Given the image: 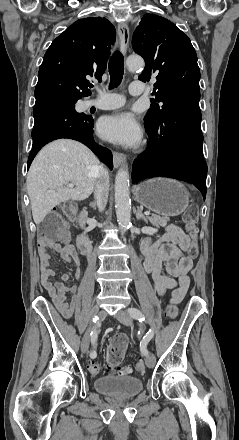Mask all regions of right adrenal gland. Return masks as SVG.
Segmentation results:
<instances>
[{"label": "right adrenal gland", "instance_id": "2a0ac1e0", "mask_svg": "<svg viewBox=\"0 0 239 440\" xmlns=\"http://www.w3.org/2000/svg\"><path fill=\"white\" fill-rule=\"evenodd\" d=\"M90 206L93 210H97L96 202H91Z\"/></svg>", "mask_w": 239, "mask_h": 440}]
</instances>
